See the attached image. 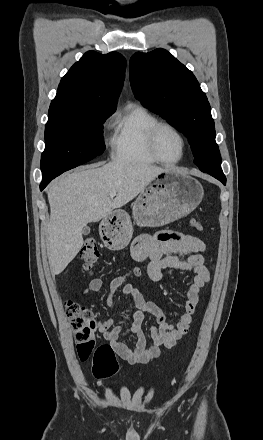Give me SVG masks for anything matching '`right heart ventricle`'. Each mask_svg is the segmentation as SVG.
<instances>
[{
	"label": "right heart ventricle",
	"mask_w": 263,
	"mask_h": 440,
	"mask_svg": "<svg viewBox=\"0 0 263 440\" xmlns=\"http://www.w3.org/2000/svg\"><path fill=\"white\" fill-rule=\"evenodd\" d=\"M158 118L143 106L129 105L119 114L110 139L112 158L119 162L152 164L147 135Z\"/></svg>",
	"instance_id": "1"
}]
</instances>
